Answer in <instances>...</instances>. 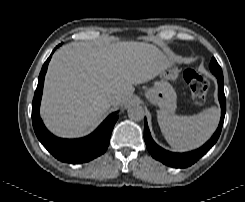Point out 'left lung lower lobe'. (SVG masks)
<instances>
[{"mask_svg":"<svg viewBox=\"0 0 245 202\" xmlns=\"http://www.w3.org/2000/svg\"><path fill=\"white\" fill-rule=\"evenodd\" d=\"M218 80V98L221 106V119L219 126L213 136L199 149L193 150L186 153H173L169 152L160 146H158L151 137L147 120H144V140L147 146L148 151L153 158L161 161L165 165L175 168H186L194 164L199 160L203 155H205L210 148L217 142L221 129L224 122V116L226 112V100L224 94V79L223 76H216Z\"/></svg>","mask_w":245,"mask_h":202,"instance_id":"0a47b994","label":"left lung lower lobe"}]
</instances>
